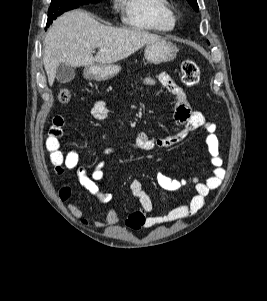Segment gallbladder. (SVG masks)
<instances>
[{
  "label": "gallbladder",
  "instance_id": "obj_1",
  "mask_svg": "<svg viewBox=\"0 0 267 301\" xmlns=\"http://www.w3.org/2000/svg\"><path fill=\"white\" fill-rule=\"evenodd\" d=\"M75 77L74 68L67 64H60L56 69V79L59 83H69Z\"/></svg>",
  "mask_w": 267,
  "mask_h": 301
}]
</instances>
